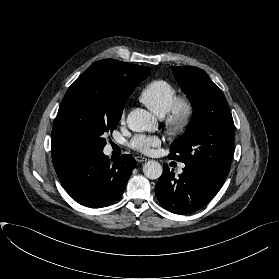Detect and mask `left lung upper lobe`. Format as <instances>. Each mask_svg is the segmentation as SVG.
Segmentation results:
<instances>
[{
	"mask_svg": "<svg viewBox=\"0 0 279 279\" xmlns=\"http://www.w3.org/2000/svg\"><path fill=\"white\" fill-rule=\"evenodd\" d=\"M172 70L191 102L193 116L185 133L170 145L169 158L225 180L234 147V122L225 96L200 68Z\"/></svg>",
	"mask_w": 279,
	"mask_h": 279,
	"instance_id": "left-lung-upper-lobe-1",
	"label": "left lung upper lobe"
}]
</instances>
